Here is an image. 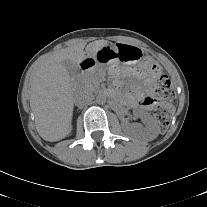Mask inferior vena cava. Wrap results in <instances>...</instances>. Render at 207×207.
I'll use <instances>...</instances> for the list:
<instances>
[{"label":"inferior vena cava","mask_w":207,"mask_h":207,"mask_svg":"<svg viewBox=\"0 0 207 207\" xmlns=\"http://www.w3.org/2000/svg\"><path fill=\"white\" fill-rule=\"evenodd\" d=\"M93 99L94 96L92 92L87 89H81L75 94L74 102L77 106H84L91 103Z\"/></svg>","instance_id":"602c4592"}]
</instances>
